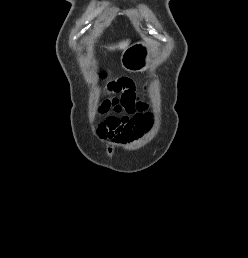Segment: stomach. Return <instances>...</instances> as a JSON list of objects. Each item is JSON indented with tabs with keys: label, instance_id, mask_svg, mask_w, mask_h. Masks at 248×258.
Listing matches in <instances>:
<instances>
[{
	"label": "stomach",
	"instance_id": "stomach-1",
	"mask_svg": "<svg viewBox=\"0 0 248 258\" xmlns=\"http://www.w3.org/2000/svg\"><path fill=\"white\" fill-rule=\"evenodd\" d=\"M153 45L150 42H138L128 47L122 57V67L130 72L144 71L150 65Z\"/></svg>",
	"mask_w": 248,
	"mask_h": 258
}]
</instances>
